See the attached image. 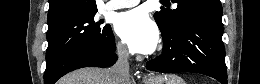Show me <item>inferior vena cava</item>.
I'll use <instances>...</instances> for the list:
<instances>
[{"label": "inferior vena cava", "mask_w": 260, "mask_h": 84, "mask_svg": "<svg viewBox=\"0 0 260 84\" xmlns=\"http://www.w3.org/2000/svg\"><path fill=\"white\" fill-rule=\"evenodd\" d=\"M118 59L111 67L112 79L114 84L129 83V53L123 48H117Z\"/></svg>", "instance_id": "1"}]
</instances>
